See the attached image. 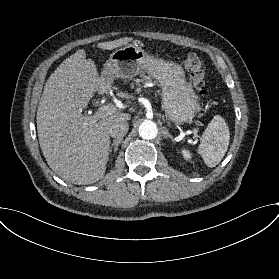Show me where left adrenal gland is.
I'll return each instance as SVG.
<instances>
[{"label": "left adrenal gland", "instance_id": "a2214340", "mask_svg": "<svg viewBox=\"0 0 279 279\" xmlns=\"http://www.w3.org/2000/svg\"><path fill=\"white\" fill-rule=\"evenodd\" d=\"M162 134L163 138H170L172 141H174L173 136L168 132V129L166 127L162 128Z\"/></svg>", "mask_w": 279, "mask_h": 279}]
</instances>
